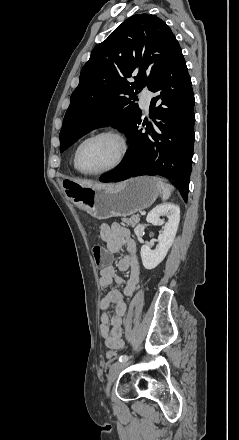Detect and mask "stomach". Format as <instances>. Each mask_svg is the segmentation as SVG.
<instances>
[{"label": "stomach", "mask_w": 239, "mask_h": 440, "mask_svg": "<svg viewBox=\"0 0 239 440\" xmlns=\"http://www.w3.org/2000/svg\"><path fill=\"white\" fill-rule=\"evenodd\" d=\"M70 194L74 204L81 206L87 214L97 220H107L116 216H131L149 208L162 190L156 178L140 176L104 188H88L71 182Z\"/></svg>", "instance_id": "0dacf381"}]
</instances>
